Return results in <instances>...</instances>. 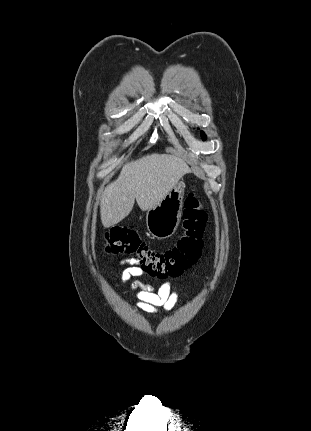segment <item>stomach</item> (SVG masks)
<instances>
[{
    "label": "stomach",
    "instance_id": "0dacf381",
    "mask_svg": "<svg viewBox=\"0 0 311 431\" xmlns=\"http://www.w3.org/2000/svg\"><path fill=\"white\" fill-rule=\"evenodd\" d=\"M184 182H178L152 210L146 212V227L155 239H167L175 233L182 217Z\"/></svg>",
    "mask_w": 311,
    "mask_h": 431
}]
</instances>
